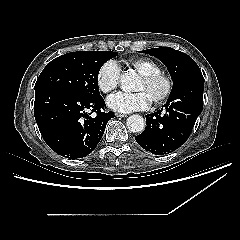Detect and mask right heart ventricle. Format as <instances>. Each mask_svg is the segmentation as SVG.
I'll return each mask as SVG.
<instances>
[{
    "instance_id": "1",
    "label": "right heart ventricle",
    "mask_w": 240,
    "mask_h": 240,
    "mask_svg": "<svg viewBox=\"0 0 240 240\" xmlns=\"http://www.w3.org/2000/svg\"><path fill=\"white\" fill-rule=\"evenodd\" d=\"M125 63L131 66L139 75L159 71L158 66L148 58H131L126 60Z\"/></svg>"
}]
</instances>
